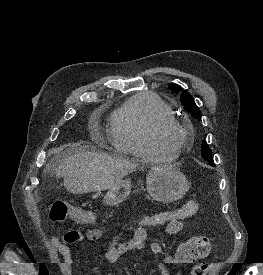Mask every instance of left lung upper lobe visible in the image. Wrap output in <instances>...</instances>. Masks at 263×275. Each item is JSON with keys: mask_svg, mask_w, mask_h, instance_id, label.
<instances>
[{"mask_svg": "<svg viewBox=\"0 0 263 275\" xmlns=\"http://www.w3.org/2000/svg\"><path fill=\"white\" fill-rule=\"evenodd\" d=\"M170 89L175 92H182L181 94V103L184 105V109L191 114L194 118H197L201 120V113L199 108L196 106L194 102V98L189 94L187 91H183L182 87L175 84L171 83L169 85ZM201 156L204 160H206L210 165L214 166V161L211 158V151L208 147V144L206 142L202 143V148H201Z\"/></svg>", "mask_w": 263, "mask_h": 275, "instance_id": "1", "label": "left lung upper lobe"}]
</instances>
